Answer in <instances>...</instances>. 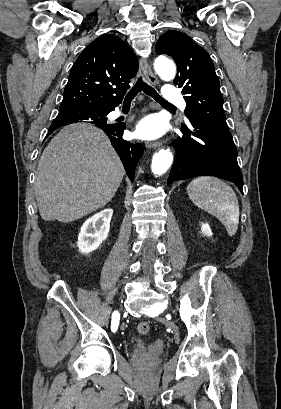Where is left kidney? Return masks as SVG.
<instances>
[{"instance_id": "obj_1", "label": "left kidney", "mask_w": 281, "mask_h": 409, "mask_svg": "<svg viewBox=\"0 0 281 409\" xmlns=\"http://www.w3.org/2000/svg\"><path fill=\"white\" fill-rule=\"evenodd\" d=\"M201 231L205 237H212L213 235L208 223H201Z\"/></svg>"}]
</instances>
